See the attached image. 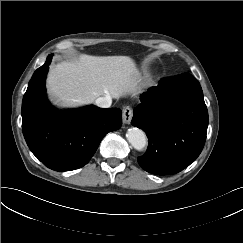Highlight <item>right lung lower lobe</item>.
I'll return each instance as SVG.
<instances>
[{
    "label": "right lung lower lobe",
    "instance_id": "98d812e1",
    "mask_svg": "<svg viewBox=\"0 0 243 243\" xmlns=\"http://www.w3.org/2000/svg\"><path fill=\"white\" fill-rule=\"evenodd\" d=\"M50 55L33 74L22 101V129L32 153L48 168L71 171L86 165L102 138L121 127V110L87 106L58 112L47 101Z\"/></svg>",
    "mask_w": 243,
    "mask_h": 243
}]
</instances>
